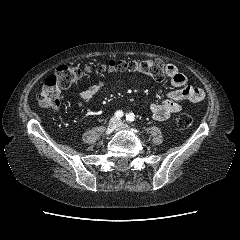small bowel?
<instances>
[{"mask_svg":"<svg viewBox=\"0 0 240 240\" xmlns=\"http://www.w3.org/2000/svg\"><path fill=\"white\" fill-rule=\"evenodd\" d=\"M167 76L170 79L171 85L175 87V90L168 94V99L150 105L152 116L160 121L166 120L171 115L183 110V102L198 103L205 96L201 88L187 84V78L175 65L167 64ZM103 87L104 83L100 81L85 90L76 92V96L79 98V105L82 106L90 102Z\"/></svg>","mask_w":240,"mask_h":240,"instance_id":"small-bowel-1","label":"small bowel"}]
</instances>
